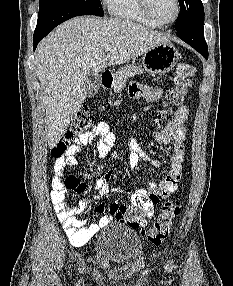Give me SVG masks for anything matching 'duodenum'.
<instances>
[{
    "label": "duodenum",
    "mask_w": 233,
    "mask_h": 286,
    "mask_svg": "<svg viewBox=\"0 0 233 286\" xmlns=\"http://www.w3.org/2000/svg\"><path fill=\"white\" fill-rule=\"evenodd\" d=\"M113 73L111 71H104L101 74L100 81L103 88L108 89L112 86L113 83Z\"/></svg>",
    "instance_id": "410a0bca"
}]
</instances>
